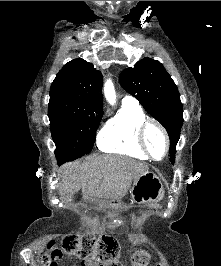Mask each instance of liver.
Instances as JSON below:
<instances>
[{
    "mask_svg": "<svg viewBox=\"0 0 221 266\" xmlns=\"http://www.w3.org/2000/svg\"><path fill=\"white\" fill-rule=\"evenodd\" d=\"M147 171L144 163L126 156L94 155L86 162L61 167L59 193L67 197L81 189L85 197L119 200L128 193L132 181Z\"/></svg>",
    "mask_w": 221,
    "mask_h": 266,
    "instance_id": "liver-1",
    "label": "liver"
}]
</instances>
